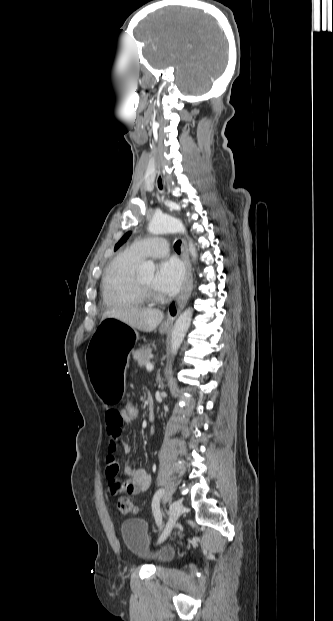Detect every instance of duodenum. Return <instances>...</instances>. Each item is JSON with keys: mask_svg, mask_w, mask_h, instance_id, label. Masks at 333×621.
I'll list each match as a JSON object with an SVG mask.
<instances>
[{"mask_svg": "<svg viewBox=\"0 0 333 621\" xmlns=\"http://www.w3.org/2000/svg\"><path fill=\"white\" fill-rule=\"evenodd\" d=\"M148 402H149L148 417L150 420H153L155 416V412H154L153 401L150 395L148 396Z\"/></svg>", "mask_w": 333, "mask_h": 621, "instance_id": "410a0bca", "label": "duodenum"}]
</instances>
